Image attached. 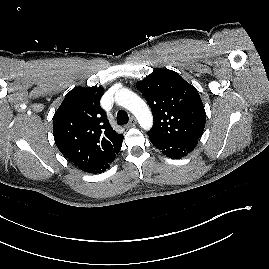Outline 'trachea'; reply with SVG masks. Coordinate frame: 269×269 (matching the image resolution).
<instances>
[{"label": "trachea", "mask_w": 269, "mask_h": 269, "mask_svg": "<svg viewBox=\"0 0 269 269\" xmlns=\"http://www.w3.org/2000/svg\"><path fill=\"white\" fill-rule=\"evenodd\" d=\"M128 121H129L128 114L123 110L118 111V113H117V123L119 125H123V124H127Z\"/></svg>", "instance_id": "trachea-1"}]
</instances>
